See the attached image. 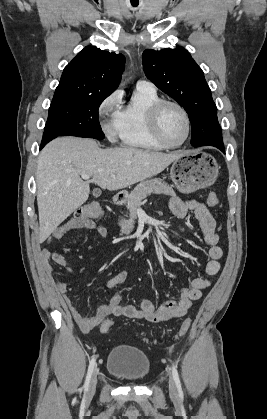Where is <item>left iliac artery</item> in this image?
<instances>
[{
	"instance_id": "44dca946",
	"label": "left iliac artery",
	"mask_w": 267,
	"mask_h": 419,
	"mask_svg": "<svg viewBox=\"0 0 267 419\" xmlns=\"http://www.w3.org/2000/svg\"><path fill=\"white\" fill-rule=\"evenodd\" d=\"M172 376H173V379H174L175 384L177 386L178 394H179L180 397H182L183 396V391H182V387H181V382H180V378H179L177 368L174 365H172Z\"/></svg>"
}]
</instances>
